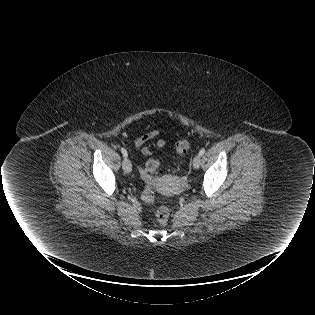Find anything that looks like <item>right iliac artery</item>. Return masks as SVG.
<instances>
[{
    "label": "right iliac artery",
    "mask_w": 315,
    "mask_h": 315,
    "mask_svg": "<svg viewBox=\"0 0 315 315\" xmlns=\"http://www.w3.org/2000/svg\"><path fill=\"white\" fill-rule=\"evenodd\" d=\"M121 153H122L123 157L127 158V151L125 148H121Z\"/></svg>",
    "instance_id": "right-iliac-artery-1"
}]
</instances>
